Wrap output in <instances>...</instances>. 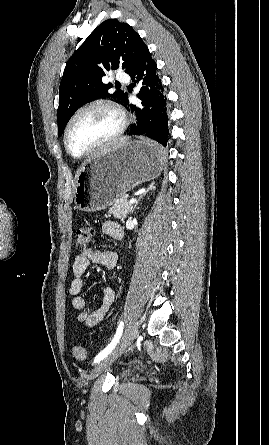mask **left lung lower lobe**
Wrapping results in <instances>:
<instances>
[{
    "instance_id": "obj_1",
    "label": "left lung lower lobe",
    "mask_w": 269,
    "mask_h": 445,
    "mask_svg": "<svg viewBox=\"0 0 269 445\" xmlns=\"http://www.w3.org/2000/svg\"><path fill=\"white\" fill-rule=\"evenodd\" d=\"M128 74L132 81L141 83L137 97L142 100V107L130 105L136 123L132 125L128 135L147 136L154 140L153 150L163 152L162 146L167 145L169 135L167 99L161 79L157 75V64L149 49L142 54L139 62ZM124 101L128 102V94Z\"/></svg>"
}]
</instances>
